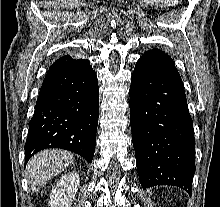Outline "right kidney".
Masks as SVG:
<instances>
[{
	"instance_id": "right-kidney-1",
	"label": "right kidney",
	"mask_w": 220,
	"mask_h": 207,
	"mask_svg": "<svg viewBox=\"0 0 220 207\" xmlns=\"http://www.w3.org/2000/svg\"><path fill=\"white\" fill-rule=\"evenodd\" d=\"M80 185L77 172L63 175L54 185L50 193V207H71V201L75 198Z\"/></svg>"
}]
</instances>
